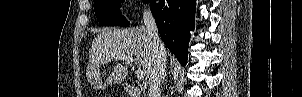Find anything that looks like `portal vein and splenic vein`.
I'll return each mask as SVG.
<instances>
[{
    "mask_svg": "<svg viewBox=\"0 0 302 97\" xmlns=\"http://www.w3.org/2000/svg\"><path fill=\"white\" fill-rule=\"evenodd\" d=\"M116 60H125L126 62H128V63H133L134 62V59L132 58V57H127V56H123V55H121V56H118V57H116L115 58ZM135 74H136V77L138 78V79H144V77H145V74L143 73V71L142 70H137L136 72H135Z\"/></svg>",
    "mask_w": 302,
    "mask_h": 97,
    "instance_id": "1",
    "label": "portal vein and splenic vein"
}]
</instances>
